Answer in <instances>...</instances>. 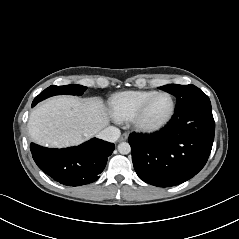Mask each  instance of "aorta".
Segmentation results:
<instances>
[{"label":"aorta","mask_w":239,"mask_h":239,"mask_svg":"<svg viewBox=\"0 0 239 239\" xmlns=\"http://www.w3.org/2000/svg\"><path fill=\"white\" fill-rule=\"evenodd\" d=\"M118 151L120 154H128L131 152V147H130L129 143L122 142L118 145Z\"/></svg>","instance_id":"762f6f07"}]
</instances>
